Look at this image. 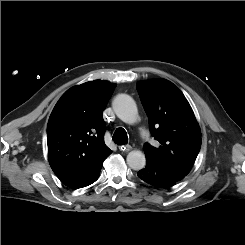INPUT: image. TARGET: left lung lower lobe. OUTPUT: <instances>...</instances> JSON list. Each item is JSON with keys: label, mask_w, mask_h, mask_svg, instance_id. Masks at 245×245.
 I'll return each mask as SVG.
<instances>
[{"label": "left lung lower lobe", "mask_w": 245, "mask_h": 245, "mask_svg": "<svg viewBox=\"0 0 245 245\" xmlns=\"http://www.w3.org/2000/svg\"><path fill=\"white\" fill-rule=\"evenodd\" d=\"M137 176L144 182L162 189L170 188L181 182L185 176L160 168L146 161L145 168L138 171Z\"/></svg>", "instance_id": "left-lung-lower-lobe-1"}]
</instances>
